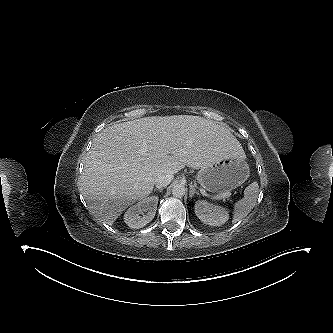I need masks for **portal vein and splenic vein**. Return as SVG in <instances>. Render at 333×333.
Here are the masks:
<instances>
[{
    "mask_svg": "<svg viewBox=\"0 0 333 333\" xmlns=\"http://www.w3.org/2000/svg\"><path fill=\"white\" fill-rule=\"evenodd\" d=\"M202 194H204V195L207 196V192H206L205 190H203V189H202ZM229 196H231V192H229V191L224 192V193L221 194V197H223V198H224V197L226 198V197H229ZM215 198H216V199H219V197H215Z\"/></svg>",
    "mask_w": 333,
    "mask_h": 333,
    "instance_id": "1",
    "label": "portal vein and splenic vein"
}]
</instances>
